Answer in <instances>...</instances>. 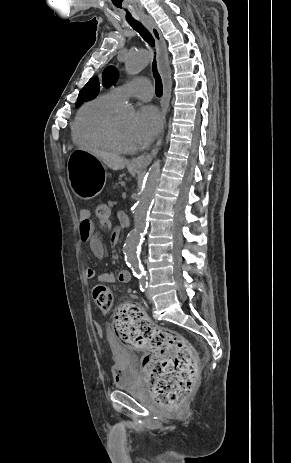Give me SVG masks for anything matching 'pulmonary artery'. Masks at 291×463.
<instances>
[{
    "mask_svg": "<svg viewBox=\"0 0 291 463\" xmlns=\"http://www.w3.org/2000/svg\"><path fill=\"white\" fill-rule=\"evenodd\" d=\"M110 93L118 103L128 98L150 101L153 96V88L148 78L139 77L111 89Z\"/></svg>",
    "mask_w": 291,
    "mask_h": 463,
    "instance_id": "1",
    "label": "pulmonary artery"
}]
</instances>
